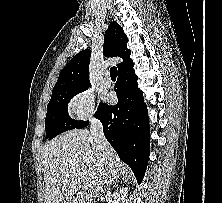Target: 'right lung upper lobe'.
<instances>
[{
    "label": "right lung upper lobe",
    "mask_w": 222,
    "mask_h": 203,
    "mask_svg": "<svg viewBox=\"0 0 222 203\" xmlns=\"http://www.w3.org/2000/svg\"><path fill=\"white\" fill-rule=\"evenodd\" d=\"M131 51L127 49V37L117 22H111L104 35L103 54L106 57H121L122 63L117 64L118 72L133 66L130 59ZM91 51L85 49L75 55L61 70L53 92L90 85L89 61Z\"/></svg>",
    "instance_id": "obj_1"
}]
</instances>
